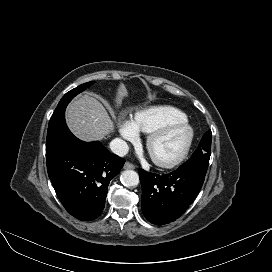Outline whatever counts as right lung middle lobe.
<instances>
[{
    "instance_id": "1",
    "label": "right lung middle lobe",
    "mask_w": 272,
    "mask_h": 272,
    "mask_svg": "<svg viewBox=\"0 0 272 272\" xmlns=\"http://www.w3.org/2000/svg\"><path fill=\"white\" fill-rule=\"evenodd\" d=\"M94 82L84 83L71 91L67 92L62 99L60 100L58 106L56 107L48 126L47 139L46 143H49L53 138L58 136L62 130L65 128V109L67 104L71 101V99L84 91L87 87L92 85Z\"/></svg>"
}]
</instances>
